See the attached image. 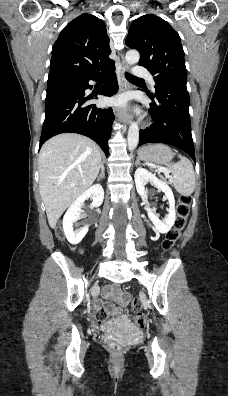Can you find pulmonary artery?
I'll list each match as a JSON object with an SVG mask.
<instances>
[{
	"label": "pulmonary artery",
	"mask_w": 228,
	"mask_h": 396,
	"mask_svg": "<svg viewBox=\"0 0 228 396\" xmlns=\"http://www.w3.org/2000/svg\"><path fill=\"white\" fill-rule=\"evenodd\" d=\"M135 76L139 77V78H148L150 80L151 86L152 87L155 86V82L153 81L152 76L147 69L142 68V67H137L135 69Z\"/></svg>",
	"instance_id": "pulmonary-artery-1"
}]
</instances>
